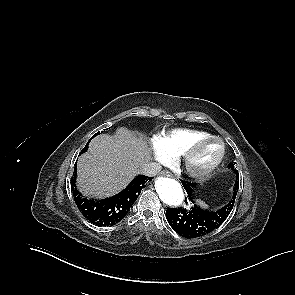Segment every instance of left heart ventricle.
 Masks as SVG:
<instances>
[{
    "label": "left heart ventricle",
    "instance_id": "left-heart-ventricle-1",
    "mask_svg": "<svg viewBox=\"0 0 295 295\" xmlns=\"http://www.w3.org/2000/svg\"><path fill=\"white\" fill-rule=\"evenodd\" d=\"M219 147L216 143L210 142L202 146L193 158V166L201 169L207 167L216 158Z\"/></svg>",
    "mask_w": 295,
    "mask_h": 295
}]
</instances>
